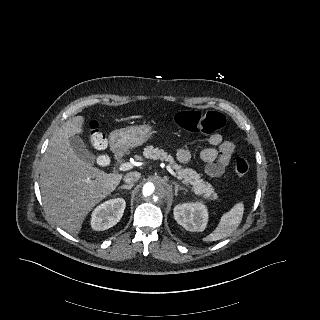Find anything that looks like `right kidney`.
I'll return each instance as SVG.
<instances>
[{"label":"right kidney","instance_id":"ca27d5eb","mask_svg":"<svg viewBox=\"0 0 320 320\" xmlns=\"http://www.w3.org/2000/svg\"><path fill=\"white\" fill-rule=\"evenodd\" d=\"M125 206L126 202L123 198H115L103 202L92 213V228L103 231L113 227L122 218Z\"/></svg>","mask_w":320,"mask_h":320}]
</instances>
